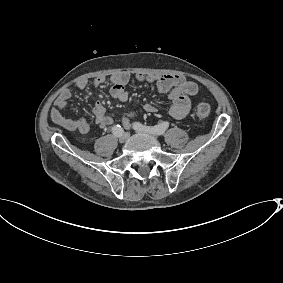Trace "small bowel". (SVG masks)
<instances>
[{
	"mask_svg": "<svg viewBox=\"0 0 283 283\" xmlns=\"http://www.w3.org/2000/svg\"><path fill=\"white\" fill-rule=\"evenodd\" d=\"M134 79L139 82L154 84L159 93H168L171 100V105L167 110V114L176 120H181L186 117L191 108V97L198 92V86L194 81L186 79L182 75L172 74H149L138 72L134 74ZM131 80V75L128 72H119L110 77L111 87L110 94L115 99L125 102L128 99L126 86ZM105 77H97L94 79V86L100 87L105 83ZM78 89L83 90L88 86L87 79H81L76 83ZM71 98L69 89H63L54 102V107L51 110V119L54 123L70 130L77 131L83 136L89 133V125L84 118H67L63 112L66 109ZM93 115L96 124L104 129L113 124V118L107 114L105 106L101 101H96L93 106ZM142 111L147 113H155L157 108L146 103L142 106ZM135 115L134 111L125 113L122 117V123L126 129H130V120Z\"/></svg>",
	"mask_w": 283,
	"mask_h": 283,
	"instance_id": "c3829d8e",
	"label": "small bowel"
}]
</instances>
